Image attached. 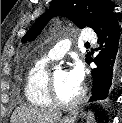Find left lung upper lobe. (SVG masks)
Masks as SVG:
<instances>
[{
    "label": "left lung upper lobe",
    "mask_w": 122,
    "mask_h": 123,
    "mask_svg": "<svg viewBox=\"0 0 122 123\" xmlns=\"http://www.w3.org/2000/svg\"><path fill=\"white\" fill-rule=\"evenodd\" d=\"M113 14V7L109 0H52L50 8L36 20L22 41L35 39L54 16H65L78 27L88 26L97 33ZM89 56L90 53H87L85 60Z\"/></svg>",
    "instance_id": "5c2ea615"
}]
</instances>
